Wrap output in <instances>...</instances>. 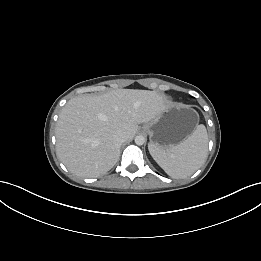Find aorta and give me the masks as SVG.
I'll list each match as a JSON object with an SVG mask.
<instances>
[{
	"label": "aorta",
	"mask_w": 261,
	"mask_h": 261,
	"mask_svg": "<svg viewBox=\"0 0 261 261\" xmlns=\"http://www.w3.org/2000/svg\"><path fill=\"white\" fill-rule=\"evenodd\" d=\"M135 143L137 145H143L145 143V137L142 135H138L135 137Z\"/></svg>",
	"instance_id": "1"
}]
</instances>
